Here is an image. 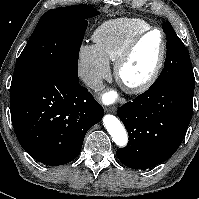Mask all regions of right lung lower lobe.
Instances as JSON below:
<instances>
[{
    "label": "right lung lower lobe",
    "instance_id": "1",
    "mask_svg": "<svg viewBox=\"0 0 199 199\" xmlns=\"http://www.w3.org/2000/svg\"><path fill=\"white\" fill-rule=\"evenodd\" d=\"M11 120L20 145L39 162L75 159L86 132L104 114L78 80L50 72L10 93Z\"/></svg>",
    "mask_w": 199,
    "mask_h": 199
}]
</instances>
